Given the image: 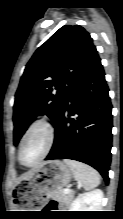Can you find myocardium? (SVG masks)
<instances>
[{
  "mask_svg": "<svg viewBox=\"0 0 123 219\" xmlns=\"http://www.w3.org/2000/svg\"><path fill=\"white\" fill-rule=\"evenodd\" d=\"M41 129L45 132L46 134V143H45V148L44 151L42 153V155L40 156V158L31 164L25 163L22 159V148H23V144L25 142V140L36 130ZM54 140H55V128L53 126V124L44 117H40L35 119L34 121H32L29 126L27 127V129L25 130L20 143H19V149H18V158L19 161L21 162V164H23L24 166H28V167H32L35 166L37 164H39L41 161H43L47 155L49 154L53 144H54Z\"/></svg>",
  "mask_w": 123,
  "mask_h": 219,
  "instance_id": "obj_1",
  "label": "myocardium"
}]
</instances>
